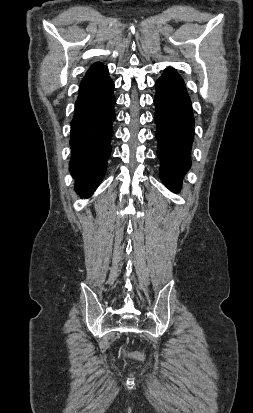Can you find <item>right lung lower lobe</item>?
<instances>
[{
    "instance_id": "right-lung-lower-lobe-1",
    "label": "right lung lower lobe",
    "mask_w": 253,
    "mask_h": 413,
    "mask_svg": "<svg viewBox=\"0 0 253 413\" xmlns=\"http://www.w3.org/2000/svg\"><path fill=\"white\" fill-rule=\"evenodd\" d=\"M114 83L107 67L80 86L70 134V172L76 192L89 197L105 175L115 119Z\"/></svg>"
}]
</instances>
